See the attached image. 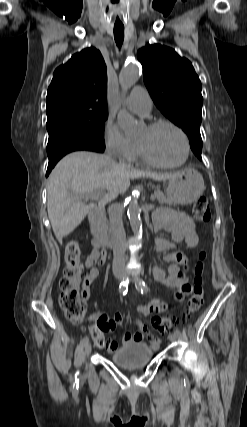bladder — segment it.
Instances as JSON below:
<instances>
[{
  "instance_id": "31cf9c89",
  "label": "bladder",
  "mask_w": 247,
  "mask_h": 427,
  "mask_svg": "<svg viewBox=\"0 0 247 427\" xmlns=\"http://www.w3.org/2000/svg\"><path fill=\"white\" fill-rule=\"evenodd\" d=\"M154 357V350L141 342H132L116 349L111 360L118 366L134 369L148 364Z\"/></svg>"
}]
</instances>
